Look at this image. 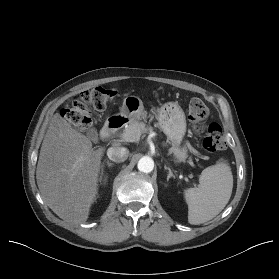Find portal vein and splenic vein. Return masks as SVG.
Instances as JSON below:
<instances>
[{
    "mask_svg": "<svg viewBox=\"0 0 279 279\" xmlns=\"http://www.w3.org/2000/svg\"><path fill=\"white\" fill-rule=\"evenodd\" d=\"M134 138L135 137L130 132H126L121 136L122 141H126V142H133ZM193 153L195 155H199V152L197 150H193Z\"/></svg>",
    "mask_w": 279,
    "mask_h": 279,
    "instance_id": "18ae733b",
    "label": "portal vein and splenic vein"
}]
</instances>
